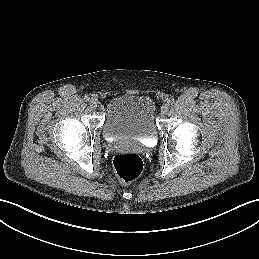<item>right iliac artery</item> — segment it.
I'll return each instance as SVG.
<instances>
[{"mask_svg": "<svg viewBox=\"0 0 259 259\" xmlns=\"http://www.w3.org/2000/svg\"><path fill=\"white\" fill-rule=\"evenodd\" d=\"M84 100L89 102L90 101V97L86 95V96H84Z\"/></svg>", "mask_w": 259, "mask_h": 259, "instance_id": "right-iliac-artery-1", "label": "right iliac artery"}]
</instances>
